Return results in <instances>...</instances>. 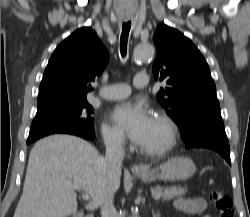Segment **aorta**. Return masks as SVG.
I'll use <instances>...</instances> for the list:
<instances>
[{
  "label": "aorta",
  "instance_id": "aorta-1",
  "mask_svg": "<svg viewBox=\"0 0 250 217\" xmlns=\"http://www.w3.org/2000/svg\"><path fill=\"white\" fill-rule=\"evenodd\" d=\"M155 53L154 47L150 44H140L134 50V59L136 61L147 60L153 57Z\"/></svg>",
  "mask_w": 250,
  "mask_h": 217
}]
</instances>
